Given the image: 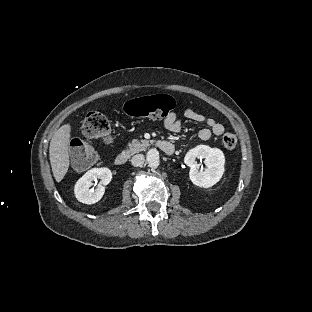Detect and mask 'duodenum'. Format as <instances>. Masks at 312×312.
I'll return each mask as SVG.
<instances>
[{"mask_svg": "<svg viewBox=\"0 0 312 312\" xmlns=\"http://www.w3.org/2000/svg\"><path fill=\"white\" fill-rule=\"evenodd\" d=\"M155 145L158 146L167 155H174L176 153V147L170 141L164 139H157L155 140ZM130 155H131L130 150H124L120 152L115 158L116 165L118 166L124 165L129 159Z\"/></svg>", "mask_w": 312, "mask_h": 312, "instance_id": "1", "label": "duodenum"}]
</instances>
